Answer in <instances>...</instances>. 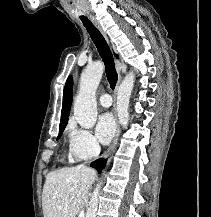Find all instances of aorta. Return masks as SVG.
Wrapping results in <instances>:
<instances>
[{
	"label": "aorta",
	"instance_id": "1",
	"mask_svg": "<svg viewBox=\"0 0 211 217\" xmlns=\"http://www.w3.org/2000/svg\"><path fill=\"white\" fill-rule=\"evenodd\" d=\"M102 62L96 61L82 72L79 84V92L74 102V117L78 124L86 129L93 127L97 120L96 90L103 75ZM135 75L129 72L120 84L117 92V112L119 122L123 127L128 125V106L134 87ZM102 182L94 189L86 217H96L98 196Z\"/></svg>",
	"mask_w": 211,
	"mask_h": 217
}]
</instances>
